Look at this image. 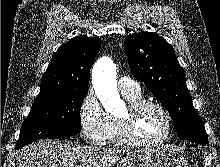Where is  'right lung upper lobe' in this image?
I'll use <instances>...</instances> for the list:
<instances>
[{
  "label": "right lung upper lobe",
  "mask_w": 220,
  "mask_h": 167,
  "mask_svg": "<svg viewBox=\"0 0 220 167\" xmlns=\"http://www.w3.org/2000/svg\"><path fill=\"white\" fill-rule=\"evenodd\" d=\"M100 47L99 38L84 36L60 46L43 75L36 100L67 89H88L90 68Z\"/></svg>",
  "instance_id": "right-lung-upper-lobe-1"
}]
</instances>
